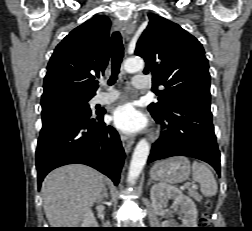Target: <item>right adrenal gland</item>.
Segmentation results:
<instances>
[{"instance_id": "2a0ac1e0", "label": "right adrenal gland", "mask_w": 252, "mask_h": 231, "mask_svg": "<svg viewBox=\"0 0 252 231\" xmlns=\"http://www.w3.org/2000/svg\"><path fill=\"white\" fill-rule=\"evenodd\" d=\"M104 198H105V199L108 198V193H107V188H106V186L104 187L102 194H100L99 200H103Z\"/></svg>"}]
</instances>
